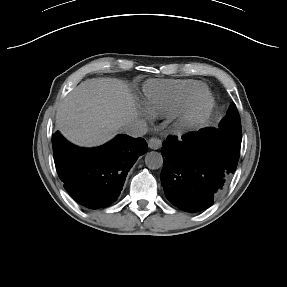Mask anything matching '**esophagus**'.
Segmentation results:
<instances>
[{
  "instance_id": "34e87169",
  "label": "esophagus",
  "mask_w": 287,
  "mask_h": 287,
  "mask_svg": "<svg viewBox=\"0 0 287 287\" xmlns=\"http://www.w3.org/2000/svg\"><path fill=\"white\" fill-rule=\"evenodd\" d=\"M148 146L150 149L157 150L161 147V140L157 137H152L148 141Z\"/></svg>"
}]
</instances>
